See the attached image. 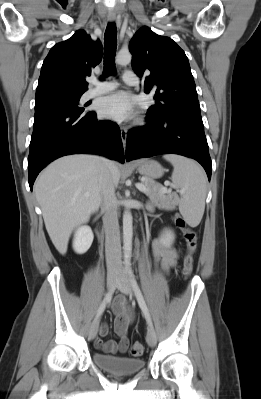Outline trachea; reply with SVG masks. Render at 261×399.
Returning a JSON list of instances; mask_svg holds the SVG:
<instances>
[{"label":"trachea","mask_w":261,"mask_h":399,"mask_svg":"<svg viewBox=\"0 0 261 399\" xmlns=\"http://www.w3.org/2000/svg\"><path fill=\"white\" fill-rule=\"evenodd\" d=\"M117 47V29L115 23L107 25L104 35V76L116 73L115 53Z\"/></svg>","instance_id":"1"}]
</instances>
